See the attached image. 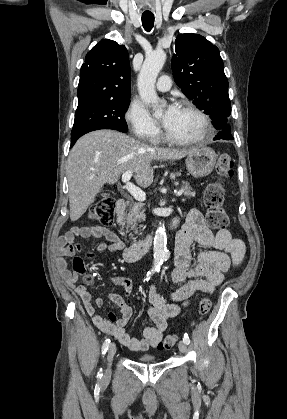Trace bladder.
Masks as SVG:
<instances>
[{
  "mask_svg": "<svg viewBox=\"0 0 287 419\" xmlns=\"http://www.w3.org/2000/svg\"><path fill=\"white\" fill-rule=\"evenodd\" d=\"M139 360L142 361V362H154L155 361V359L152 356H148V355L139 357Z\"/></svg>",
  "mask_w": 287,
  "mask_h": 419,
  "instance_id": "1",
  "label": "bladder"
}]
</instances>
